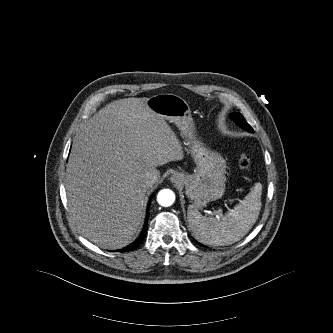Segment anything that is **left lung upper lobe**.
Instances as JSON below:
<instances>
[{
  "mask_svg": "<svg viewBox=\"0 0 333 333\" xmlns=\"http://www.w3.org/2000/svg\"><path fill=\"white\" fill-rule=\"evenodd\" d=\"M230 119L233 120L237 125H239L241 128L252 132V128L251 126L246 122V120L244 119V117L239 114V113H233L230 116Z\"/></svg>",
  "mask_w": 333,
  "mask_h": 333,
  "instance_id": "obj_1",
  "label": "left lung upper lobe"
}]
</instances>
